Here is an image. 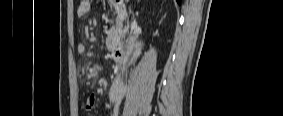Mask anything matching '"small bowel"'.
Wrapping results in <instances>:
<instances>
[{"instance_id": "c3829d8e", "label": "small bowel", "mask_w": 283, "mask_h": 116, "mask_svg": "<svg viewBox=\"0 0 283 116\" xmlns=\"http://www.w3.org/2000/svg\"><path fill=\"white\" fill-rule=\"evenodd\" d=\"M92 8H91V4L89 1L83 0L80 1V4L77 8V15L80 17L86 16L87 14H89L91 12ZM77 52L81 55H85L87 54V49L86 46L83 43H79L77 45ZM96 103V97L94 95H90L86 101H85V105L84 108L87 111H91ZM106 107L108 109L114 110V115H116V111H115V99H113L112 101H110Z\"/></svg>"}]
</instances>
